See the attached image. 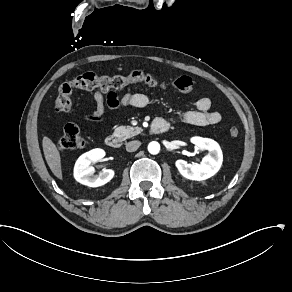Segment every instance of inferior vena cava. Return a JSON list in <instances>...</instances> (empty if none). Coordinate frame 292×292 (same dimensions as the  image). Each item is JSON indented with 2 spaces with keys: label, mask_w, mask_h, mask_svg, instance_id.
I'll return each mask as SVG.
<instances>
[{
  "label": "inferior vena cava",
  "mask_w": 292,
  "mask_h": 292,
  "mask_svg": "<svg viewBox=\"0 0 292 292\" xmlns=\"http://www.w3.org/2000/svg\"><path fill=\"white\" fill-rule=\"evenodd\" d=\"M141 145L140 141L134 140V141H130L126 144V150L128 152H134L136 151Z\"/></svg>",
  "instance_id": "inferior-vena-cava-1"
}]
</instances>
